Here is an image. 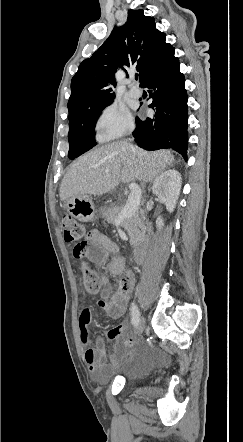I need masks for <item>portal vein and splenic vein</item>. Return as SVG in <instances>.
Segmentation results:
<instances>
[{"instance_id": "portal-vein-and-splenic-vein-1", "label": "portal vein and splenic vein", "mask_w": 243, "mask_h": 442, "mask_svg": "<svg viewBox=\"0 0 243 442\" xmlns=\"http://www.w3.org/2000/svg\"><path fill=\"white\" fill-rule=\"evenodd\" d=\"M129 188L131 190V193L128 198V202L121 211V213L119 214L118 220L132 216L133 213L137 210V207L139 205V195H140L139 187L135 183H131Z\"/></svg>"}]
</instances>
